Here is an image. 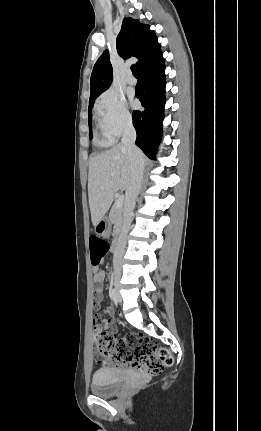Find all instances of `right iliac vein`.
Here are the masks:
<instances>
[{
  "label": "right iliac vein",
  "mask_w": 261,
  "mask_h": 431,
  "mask_svg": "<svg viewBox=\"0 0 261 431\" xmlns=\"http://www.w3.org/2000/svg\"><path fill=\"white\" fill-rule=\"evenodd\" d=\"M114 285H115V292H116V300L118 302H121V296H120V293H119V289H120L119 277L115 278Z\"/></svg>",
  "instance_id": "63e3f726"
}]
</instances>
